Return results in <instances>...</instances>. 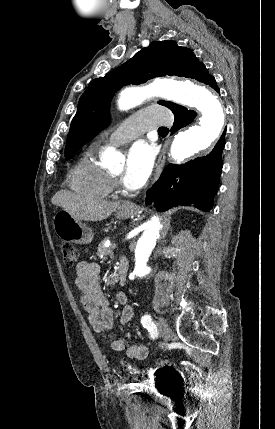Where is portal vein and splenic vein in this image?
<instances>
[{
	"label": "portal vein and splenic vein",
	"mask_w": 275,
	"mask_h": 429,
	"mask_svg": "<svg viewBox=\"0 0 275 429\" xmlns=\"http://www.w3.org/2000/svg\"><path fill=\"white\" fill-rule=\"evenodd\" d=\"M117 245L116 244H113V247L115 248Z\"/></svg>",
	"instance_id": "portal-vein-and-splenic-vein-1"
}]
</instances>
